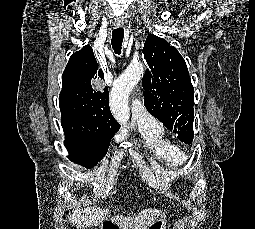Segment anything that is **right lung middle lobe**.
Here are the masks:
<instances>
[{
    "mask_svg": "<svg viewBox=\"0 0 255 229\" xmlns=\"http://www.w3.org/2000/svg\"><path fill=\"white\" fill-rule=\"evenodd\" d=\"M110 141L111 138L66 135L65 147L71 161L90 169L103 159Z\"/></svg>",
    "mask_w": 255,
    "mask_h": 229,
    "instance_id": "dd1d6c3e",
    "label": "right lung middle lobe"
}]
</instances>
